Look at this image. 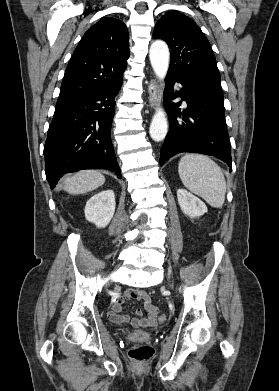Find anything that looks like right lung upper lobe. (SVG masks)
I'll use <instances>...</instances> for the list:
<instances>
[{"instance_id": "cb5924a9", "label": "right lung upper lobe", "mask_w": 279, "mask_h": 391, "mask_svg": "<svg viewBox=\"0 0 279 391\" xmlns=\"http://www.w3.org/2000/svg\"><path fill=\"white\" fill-rule=\"evenodd\" d=\"M129 58L126 25L107 17L82 37L65 71L59 100L87 95L123 79Z\"/></svg>"}]
</instances>
